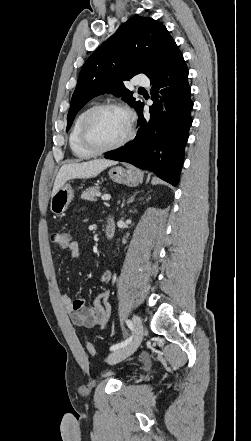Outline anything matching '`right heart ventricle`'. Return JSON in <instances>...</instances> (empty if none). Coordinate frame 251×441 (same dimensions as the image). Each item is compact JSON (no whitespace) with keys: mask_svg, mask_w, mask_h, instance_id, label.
I'll list each match as a JSON object with an SVG mask.
<instances>
[{"mask_svg":"<svg viewBox=\"0 0 251 441\" xmlns=\"http://www.w3.org/2000/svg\"><path fill=\"white\" fill-rule=\"evenodd\" d=\"M88 109L81 111L74 120L73 126L69 134V146L72 154L78 159H89L94 154L82 147L79 141V129L81 120Z\"/></svg>","mask_w":251,"mask_h":441,"instance_id":"1","label":"right heart ventricle"}]
</instances>
